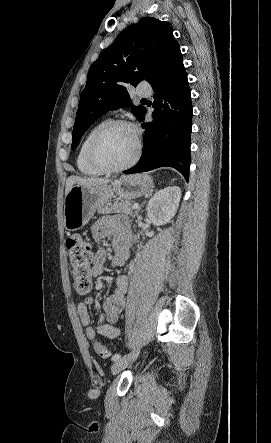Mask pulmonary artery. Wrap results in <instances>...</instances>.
<instances>
[{"label":"pulmonary artery","mask_w":271,"mask_h":443,"mask_svg":"<svg viewBox=\"0 0 271 443\" xmlns=\"http://www.w3.org/2000/svg\"><path fill=\"white\" fill-rule=\"evenodd\" d=\"M138 93H139V95H142V96H148L151 94V92H144V91H140Z\"/></svg>","instance_id":"1"}]
</instances>
